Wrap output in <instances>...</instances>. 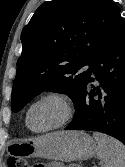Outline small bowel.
I'll return each instance as SVG.
<instances>
[{"label":"small bowel","mask_w":125,"mask_h":167,"mask_svg":"<svg viewBox=\"0 0 125 167\" xmlns=\"http://www.w3.org/2000/svg\"><path fill=\"white\" fill-rule=\"evenodd\" d=\"M38 167H58L55 163L38 164Z\"/></svg>","instance_id":"obj_1"}]
</instances>
